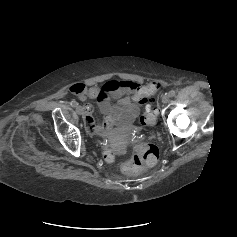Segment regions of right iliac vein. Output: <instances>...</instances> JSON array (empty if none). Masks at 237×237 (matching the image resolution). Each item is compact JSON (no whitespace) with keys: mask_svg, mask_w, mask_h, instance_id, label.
Returning a JSON list of instances; mask_svg holds the SVG:
<instances>
[{"mask_svg":"<svg viewBox=\"0 0 237 237\" xmlns=\"http://www.w3.org/2000/svg\"><path fill=\"white\" fill-rule=\"evenodd\" d=\"M76 112L79 114V115H83V108L81 106H77L76 107Z\"/></svg>","mask_w":237,"mask_h":237,"instance_id":"obj_1","label":"right iliac vein"}]
</instances>
